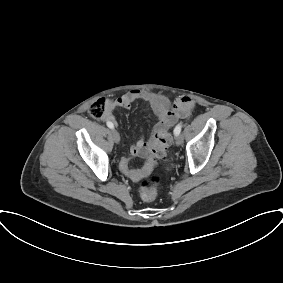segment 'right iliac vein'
Returning a JSON list of instances; mask_svg holds the SVG:
<instances>
[{
	"mask_svg": "<svg viewBox=\"0 0 283 283\" xmlns=\"http://www.w3.org/2000/svg\"><path fill=\"white\" fill-rule=\"evenodd\" d=\"M111 134H112V138L114 140L115 143H119L120 142V135L119 133L117 132V130H112L111 131Z\"/></svg>",
	"mask_w": 283,
	"mask_h": 283,
	"instance_id": "obj_1",
	"label": "right iliac vein"
}]
</instances>
